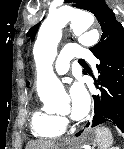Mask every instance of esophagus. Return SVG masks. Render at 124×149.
Masks as SVG:
<instances>
[{
    "label": "esophagus",
    "instance_id": "34e87169",
    "mask_svg": "<svg viewBox=\"0 0 124 149\" xmlns=\"http://www.w3.org/2000/svg\"><path fill=\"white\" fill-rule=\"evenodd\" d=\"M92 126V120H89L83 127L84 130L90 129Z\"/></svg>",
    "mask_w": 124,
    "mask_h": 149
}]
</instances>
